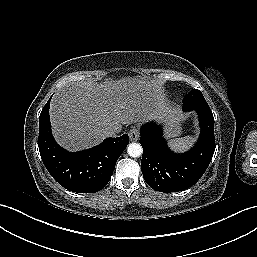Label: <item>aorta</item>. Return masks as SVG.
<instances>
[{"mask_svg": "<svg viewBox=\"0 0 257 257\" xmlns=\"http://www.w3.org/2000/svg\"><path fill=\"white\" fill-rule=\"evenodd\" d=\"M127 152L131 157H139L142 155L143 149L139 143H131L128 145Z\"/></svg>", "mask_w": 257, "mask_h": 257, "instance_id": "762f6f07", "label": "aorta"}]
</instances>
